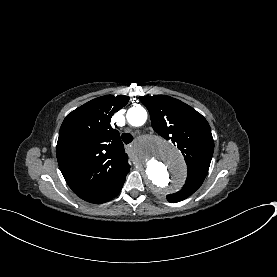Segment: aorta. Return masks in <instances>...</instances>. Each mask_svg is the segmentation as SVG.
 <instances>
[{
  "mask_svg": "<svg viewBox=\"0 0 277 277\" xmlns=\"http://www.w3.org/2000/svg\"><path fill=\"white\" fill-rule=\"evenodd\" d=\"M126 117L130 125L138 127L146 122L147 112L142 106L132 107ZM133 159L156 196H165L185 180L186 166L181 153L173 144L158 136L142 137L136 145Z\"/></svg>",
  "mask_w": 277,
  "mask_h": 277,
  "instance_id": "762f6f07",
  "label": "aorta"
}]
</instances>
